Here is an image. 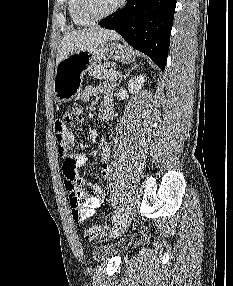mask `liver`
I'll return each instance as SVG.
<instances>
[{
	"instance_id": "liver-1",
	"label": "liver",
	"mask_w": 233,
	"mask_h": 286,
	"mask_svg": "<svg viewBox=\"0 0 233 286\" xmlns=\"http://www.w3.org/2000/svg\"><path fill=\"white\" fill-rule=\"evenodd\" d=\"M115 39H119L118 33L99 26L66 32L58 48L56 66L69 55L96 49L107 41Z\"/></svg>"
}]
</instances>
